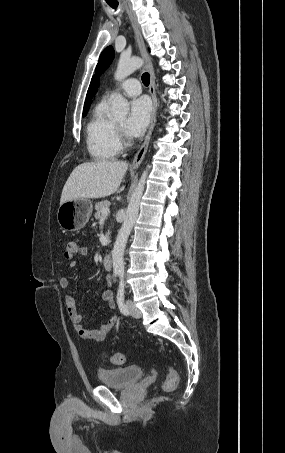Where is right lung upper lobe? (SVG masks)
<instances>
[{
  "mask_svg": "<svg viewBox=\"0 0 285 453\" xmlns=\"http://www.w3.org/2000/svg\"><path fill=\"white\" fill-rule=\"evenodd\" d=\"M99 84H100L99 80L94 75L92 77V80H91V83H90V86H89V89H88V92L86 95L83 112L88 111L89 106H90V101H91L92 97L95 95V93L97 92V88L99 87Z\"/></svg>",
  "mask_w": 285,
  "mask_h": 453,
  "instance_id": "1",
  "label": "right lung upper lobe"
}]
</instances>
